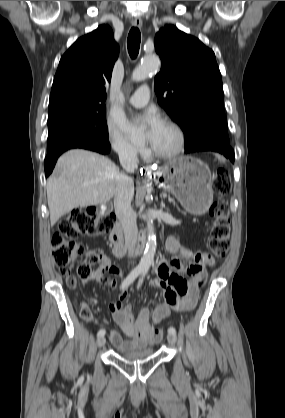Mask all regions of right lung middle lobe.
<instances>
[{"label":"right lung middle lobe","instance_id":"dd1d6c3e","mask_svg":"<svg viewBox=\"0 0 285 418\" xmlns=\"http://www.w3.org/2000/svg\"><path fill=\"white\" fill-rule=\"evenodd\" d=\"M103 103L59 101L49 104L47 152L75 138L109 140Z\"/></svg>","mask_w":285,"mask_h":418}]
</instances>
